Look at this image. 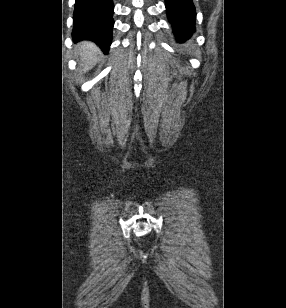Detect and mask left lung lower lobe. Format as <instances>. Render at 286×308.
Returning <instances> with one entry per match:
<instances>
[{"label":"left lung lower lobe","mask_w":286,"mask_h":308,"mask_svg":"<svg viewBox=\"0 0 286 308\" xmlns=\"http://www.w3.org/2000/svg\"><path fill=\"white\" fill-rule=\"evenodd\" d=\"M165 6L177 41L183 43L190 39L196 16L192 0H165Z\"/></svg>","instance_id":"0a47b994"}]
</instances>
